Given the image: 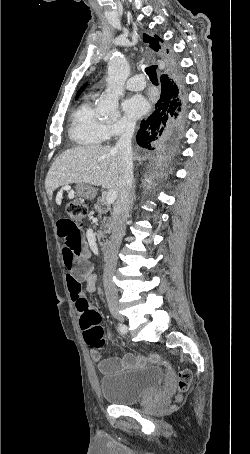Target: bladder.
Masks as SVG:
<instances>
[{"label": "bladder", "mask_w": 250, "mask_h": 454, "mask_svg": "<svg viewBox=\"0 0 250 454\" xmlns=\"http://www.w3.org/2000/svg\"><path fill=\"white\" fill-rule=\"evenodd\" d=\"M163 380L160 366L151 365L137 370L117 371L104 376L99 388L104 400L113 405H133L159 389Z\"/></svg>", "instance_id": "1"}]
</instances>
